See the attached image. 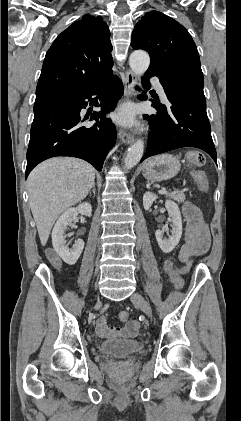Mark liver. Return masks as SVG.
Returning a JSON list of instances; mask_svg holds the SVG:
<instances>
[{
	"instance_id": "liver-1",
	"label": "liver",
	"mask_w": 241,
	"mask_h": 421,
	"mask_svg": "<svg viewBox=\"0 0 241 421\" xmlns=\"http://www.w3.org/2000/svg\"><path fill=\"white\" fill-rule=\"evenodd\" d=\"M94 180V167L72 157L52 158L33 169L27 189L42 246L47 243L59 215L83 200Z\"/></svg>"
}]
</instances>
